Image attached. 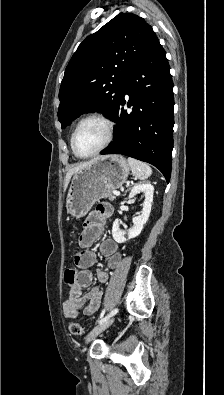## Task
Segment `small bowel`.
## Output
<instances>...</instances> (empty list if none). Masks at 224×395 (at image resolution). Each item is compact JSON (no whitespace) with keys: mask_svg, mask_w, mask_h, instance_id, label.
<instances>
[{"mask_svg":"<svg viewBox=\"0 0 224 395\" xmlns=\"http://www.w3.org/2000/svg\"><path fill=\"white\" fill-rule=\"evenodd\" d=\"M112 212L111 205L103 203L86 220L80 238V244L85 250L75 257V263L80 268V271L77 273L74 286L71 287L69 298L63 304L64 315L67 318L77 317L81 309H83L85 315L90 316L99 308L102 295L101 290L98 287H92L83 294V289L91 285L93 274L89 268L97 261L96 253L90 250L89 247L102 236L106 220ZM99 252L110 269H115L119 266L122 255L114 240H103L100 244ZM96 278L99 283H106L109 274L103 269H97Z\"/></svg>","mask_w":224,"mask_h":395,"instance_id":"1","label":"small bowel"}]
</instances>
